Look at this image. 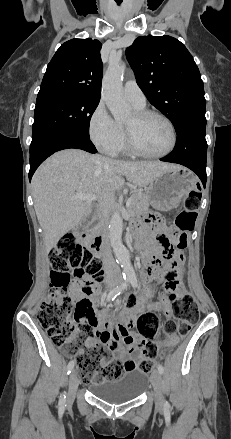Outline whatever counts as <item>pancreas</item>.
Masks as SVG:
<instances>
[{
  "label": "pancreas",
  "mask_w": 231,
  "mask_h": 439,
  "mask_svg": "<svg viewBox=\"0 0 231 439\" xmlns=\"http://www.w3.org/2000/svg\"><path fill=\"white\" fill-rule=\"evenodd\" d=\"M149 201L147 198V195L136 191L133 193L132 197H131V204L129 206V213L134 216L137 213H139L141 211V209L148 205Z\"/></svg>",
  "instance_id": "obj_1"
}]
</instances>
